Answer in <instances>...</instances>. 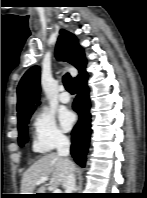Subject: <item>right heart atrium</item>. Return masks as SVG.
Instances as JSON below:
<instances>
[{"label":"right heart atrium","instance_id":"d8ad5b80","mask_svg":"<svg viewBox=\"0 0 147 198\" xmlns=\"http://www.w3.org/2000/svg\"><path fill=\"white\" fill-rule=\"evenodd\" d=\"M33 148L36 152L47 153L66 142L67 137L60 129L55 116L41 109L32 117Z\"/></svg>","mask_w":147,"mask_h":198}]
</instances>
